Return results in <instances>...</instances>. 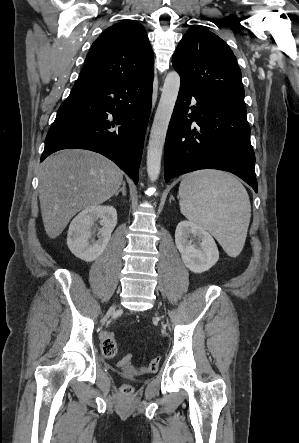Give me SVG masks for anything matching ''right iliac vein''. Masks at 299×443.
<instances>
[{"mask_svg":"<svg viewBox=\"0 0 299 443\" xmlns=\"http://www.w3.org/2000/svg\"><path fill=\"white\" fill-rule=\"evenodd\" d=\"M115 309V306L113 305L111 308H110V311H113Z\"/></svg>","mask_w":299,"mask_h":443,"instance_id":"63e3f726","label":"right iliac vein"}]
</instances>
